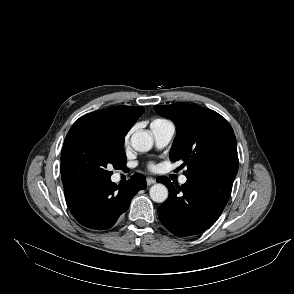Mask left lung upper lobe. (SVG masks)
<instances>
[{
  "mask_svg": "<svg viewBox=\"0 0 294 294\" xmlns=\"http://www.w3.org/2000/svg\"><path fill=\"white\" fill-rule=\"evenodd\" d=\"M156 112L176 126L170 160H182L186 177L199 176L232 158L238 168L237 144L228 121L217 112L196 104L155 105Z\"/></svg>",
  "mask_w": 294,
  "mask_h": 294,
  "instance_id": "1",
  "label": "left lung upper lobe"
}]
</instances>
